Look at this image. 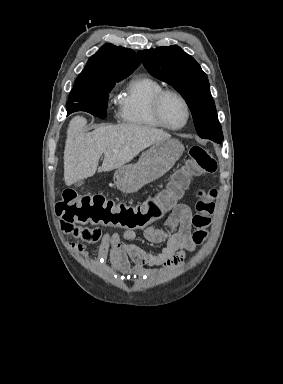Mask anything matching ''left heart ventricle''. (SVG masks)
<instances>
[{"label": "left heart ventricle", "instance_id": "b2bd125f", "mask_svg": "<svg viewBox=\"0 0 283 384\" xmlns=\"http://www.w3.org/2000/svg\"><path fill=\"white\" fill-rule=\"evenodd\" d=\"M163 121L171 127L181 126L186 118V112L182 102L173 95H168L161 106Z\"/></svg>", "mask_w": 283, "mask_h": 384}]
</instances>
